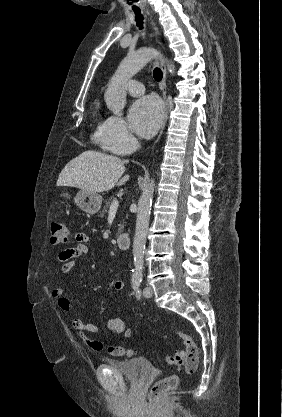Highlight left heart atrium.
<instances>
[{
	"mask_svg": "<svg viewBox=\"0 0 282 417\" xmlns=\"http://www.w3.org/2000/svg\"><path fill=\"white\" fill-rule=\"evenodd\" d=\"M163 107L160 100L147 96L132 105L129 110L131 128L141 136L153 134L162 119Z\"/></svg>",
	"mask_w": 282,
	"mask_h": 417,
	"instance_id": "left-heart-atrium-1",
	"label": "left heart atrium"
}]
</instances>
